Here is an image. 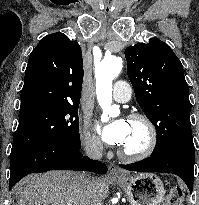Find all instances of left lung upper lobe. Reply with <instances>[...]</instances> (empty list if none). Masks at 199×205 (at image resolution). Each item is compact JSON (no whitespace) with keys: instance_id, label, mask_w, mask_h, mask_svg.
<instances>
[{"instance_id":"1","label":"left lung upper lobe","mask_w":199,"mask_h":205,"mask_svg":"<svg viewBox=\"0 0 199 205\" xmlns=\"http://www.w3.org/2000/svg\"><path fill=\"white\" fill-rule=\"evenodd\" d=\"M128 77L136 100L154 124L158 155L180 145L194 146L188 85L183 66L163 41L151 38L125 49Z\"/></svg>"}]
</instances>
